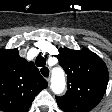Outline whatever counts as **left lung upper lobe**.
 Here are the masks:
<instances>
[{
    "mask_svg": "<svg viewBox=\"0 0 112 112\" xmlns=\"http://www.w3.org/2000/svg\"><path fill=\"white\" fill-rule=\"evenodd\" d=\"M60 66L67 74V92L56 97L64 112H89L102 99L108 84V69L104 61L87 48H59Z\"/></svg>",
    "mask_w": 112,
    "mask_h": 112,
    "instance_id": "5c2ea615",
    "label": "left lung upper lobe"
}]
</instances>
